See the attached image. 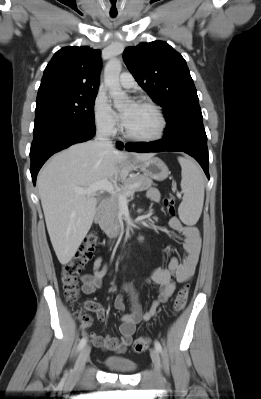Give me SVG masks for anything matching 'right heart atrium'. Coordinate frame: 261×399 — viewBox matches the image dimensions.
Wrapping results in <instances>:
<instances>
[{"instance_id": "1", "label": "right heart atrium", "mask_w": 261, "mask_h": 399, "mask_svg": "<svg viewBox=\"0 0 261 399\" xmlns=\"http://www.w3.org/2000/svg\"><path fill=\"white\" fill-rule=\"evenodd\" d=\"M94 121L97 130L105 136H113L119 129L117 115L102 96H98L94 102Z\"/></svg>"}]
</instances>
